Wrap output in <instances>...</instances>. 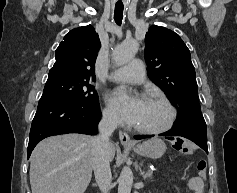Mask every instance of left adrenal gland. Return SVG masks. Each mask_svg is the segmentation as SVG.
<instances>
[{
    "label": "left adrenal gland",
    "instance_id": "obj_1",
    "mask_svg": "<svg viewBox=\"0 0 237 193\" xmlns=\"http://www.w3.org/2000/svg\"><path fill=\"white\" fill-rule=\"evenodd\" d=\"M141 166H142V164H141ZM140 174H141V176L143 177V179H146V178L152 176V172L148 171V172L145 173V172L142 171L141 168H140Z\"/></svg>",
    "mask_w": 237,
    "mask_h": 193
}]
</instances>
